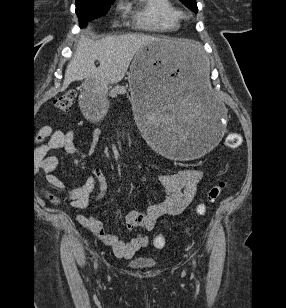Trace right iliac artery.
I'll return each mask as SVG.
<instances>
[{
  "label": "right iliac artery",
  "mask_w": 286,
  "mask_h": 308,
  "mask_svg": "<svg viewBox=\"0 0 286 308\" xmlns=\"http://www.w3.org/2000/svg\"><path fill=\"white\" fill-rule=\"evenodd\" d=\"M94 266H95V268L97 267V263H96V262H95V265H94Z\"/></svg>",
  "instance_id": "right-iliac-artery-1"
}]
</instances>
